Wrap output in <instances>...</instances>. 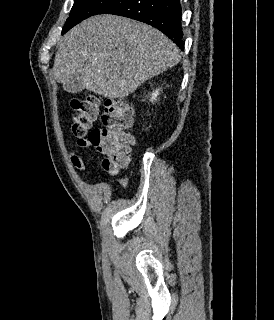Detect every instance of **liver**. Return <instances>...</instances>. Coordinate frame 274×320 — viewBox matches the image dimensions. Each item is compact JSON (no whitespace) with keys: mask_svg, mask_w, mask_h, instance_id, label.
Wrapping results in <instances>:
<instances>
[{"mask_svg":"<svg viewBox=\"0 0 274 320\" xmlns=\"http://www.w3.org/2000/svg\"><path fill=\"white\" fill-rule=\"evenodd\" d=\"M180 60V50L159 30L103 14L65 34L53 72L71 94L89 90L104 98H126Z\"/></svg>","mask_w":274,"mask_h":320,"instance_id":"obj_1","label":"liver"}]
</instances>
